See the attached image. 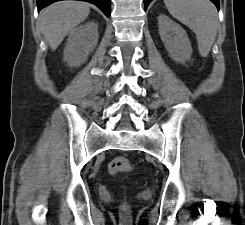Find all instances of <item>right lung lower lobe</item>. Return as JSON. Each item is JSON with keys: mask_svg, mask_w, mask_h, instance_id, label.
<instances>
[{"mask_svg": "<svg viewBox=\"0 0 245 225\" xmlns=\"http://www.w3.org/2000/svg\"><path fill=\"white\" fill-rule=\"evenodd\" d=\"M56 1H60V0H37L38 11H40L42 8ZM81 1H87L92 4H95L103 11V13L107 17H110V12H111L110 0H81Z\"/></svg>", "mask_w": 245, "mask_h": 225, "instance_id": "98d812e1", "label": "right lung lower lobe"}]
</instances>
